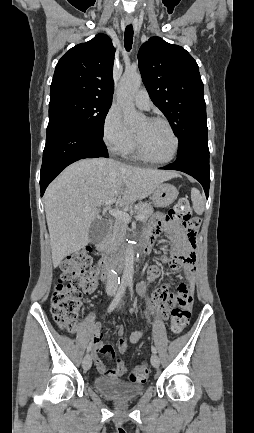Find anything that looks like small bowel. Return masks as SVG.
<instances>
[{"label": "small bowel", "instance_id": "c3829d8e", "mask_svg": "<svg viewBox=\"0 0 254 433\" xmlns=\"http://www.w3.org/2000/svg\"><path fill=\"white\" fill-rule=\"evenodd\" d=\"M165 228L170 237L175 240L177 246L173 250L171 256H162L161 262L164 265L169 266L172 270L178 271L183 270L187 277L186 282H182L177 287V293L173 294L169 290V284H163L160 288L156 289L150 295L147 301V307L145 313L148 319L152 316H157L161 319H166L170 309L177 303L179 296H186L193 298V283L192 279L195 276V253L192 250L193 247L188 240H186L181 232L174 226L165 224L161 215H156L145 231V237L151 241L155 240L159 232ZM160 275V268L158 266H151L147 273V280L149 282L154 281ZM145 334V330L132 331L128 337L124 335L123 329L118 330V350L124 354L128 349V340L136 344L138 343ZM103 333L99 331V326L96 325L95 332L93 334V341L91 348H93L92 357L94 363L99 371L106 378L117 379L126 373V363L121 359H115V365L113 367L107 366L102 359L100 354L109 355L114 357L112 348L103 343Z\"/></svg>", "mask_w": 254, "mask_h": 433}]
</instances>
